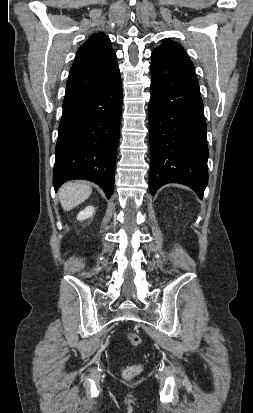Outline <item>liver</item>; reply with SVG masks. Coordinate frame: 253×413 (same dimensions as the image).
<instances>
[{
  "instance_id": "6515ba94",
  "label": "liver",
  "mask_w": 253,
  "mask_h": 413,
  "mask_svg": "<svg viewBox=\"0 0 253 413\" xmlns=\"http://www.w3.org/2000/svg\"><path fill=\"white\" fill-rule=\"evenodd\" d=\"M92 189L84 182H68L64 184L59 192V200L65 211H69L78 206L91 195Z\"/></svg>"
}]
</instances>
